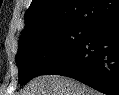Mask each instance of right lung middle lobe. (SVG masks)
I'll list each match as a JSON object with an SVG mask.
<instances>
[{"label": "right lung middle lobe", "mask_w": 119, "mask_h": 95, "mask_svg": "<svg viewBox=\"0 0 119 95\" xmlns=\"http://www.w3.org/2000/svg\"><path fill=\"white\" fill-rule=\"evenodd\" d=\"M92 29L81 25L52 26L22 36L15 61L19 83L26 84L42 75L78 45Z\"/></svg>", "instance_id": "dd1d6c3e"}]
</instances>
